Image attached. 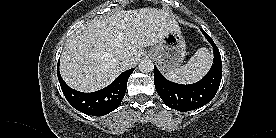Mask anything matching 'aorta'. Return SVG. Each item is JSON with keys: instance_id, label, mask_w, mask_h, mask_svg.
I'll list each match as a JSON object with an SVG mask.
<instances>
[{"instance_id": "1", "label": "aorta", "mask_w": 276, "mask_h": 138, "mask_svg": "<svg viewBox=\"0 0 276 138\" xmlns=\"http://www.w3.org/2000/svg\"><path fill=\"white\" fill-rule=\"evenodd\" d=\"M139 70L143 73H148L153 71L154 69V64L152 60L150 59H142L138 65Z\"/></svg>"}]
</instances>
